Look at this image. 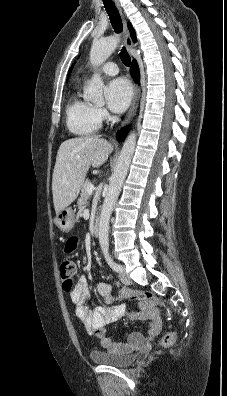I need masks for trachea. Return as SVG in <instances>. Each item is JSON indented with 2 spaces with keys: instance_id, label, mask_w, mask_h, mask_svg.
I'll return each instance as SVG.
<instances>
[{
  "instance_id": "3493384b",
  "label": "trachea",
  "mask_w": 227,
  "mask_h": 396,
  "mask_svg": "<svg viewBox=\"0 0 227 396\" xmlns=\"http://www.w3.org/2000/svg\"><path fill=\"white\" fill-rule=\"evenodd\" d=\"M103 4L108 13L114 31L118 34L121 33L122 20L114 2L112 0H103ZM120 57L125 66H130L131 59L125 47L122 48L120 52Z\"/></svg>"
}]
</instances>
